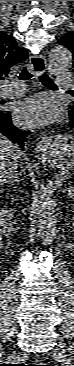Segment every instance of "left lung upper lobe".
Returning <instances> with one entry per match:
<instances>
[{
	"label": "left lung upper lobe",
	"mask_w": 74,
	"mask_h": 366,
	"mask_svg": "<svg viewBox=\"0 0 74 366\" xmlns=\"http://www.w3.org/2000/svg\"><path fill=\"white\" fill-rule=\"evenodd\" d=\"M59 44L65 46L68 48L73 56V67H74V31L73 32H67L59 39ZM71 94L74 96V90L71 91ZM74 107V105L72 106Z\"/></svg>",
	"instance_id": "left-lung-upper-lobe-1"
}]
</instances>
